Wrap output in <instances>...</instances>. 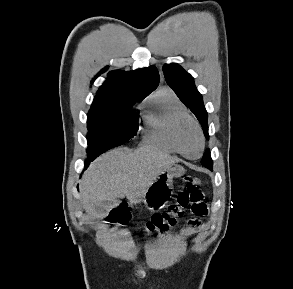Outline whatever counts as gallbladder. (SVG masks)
<instances>
[{
	"label": "gallbladder",
	"instance_id": "bac80fb5",
	"mask_svg": "<svg viewBox=\"0 0 293 289\" xmlns=\"http://www.w3.org/2000/svg\"><path fill=\"white\" fill-rule=\"evenodd\" d=\"M95 210L97 213L101 214V215H105L106 214V210L105 208L101 207V206H96Z\"/></svg>",
	"mask_w": 293,
	"mask_h": 289
}]
</instances>
